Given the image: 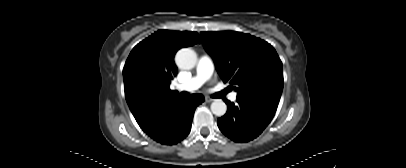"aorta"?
<instances>
[{"label": "aorta", "instance_id": "762f6f07", "mask_svg": "<svg viewBox=\"0 0 406 168\" xmlns=\"http://www.w3.org/2000/svg\"><path fill=\"white\" fill-rule=\"evenodd\" d=\"M175 62L179 68L191 69L197 63V54L190 48L180 49L175 56ZM211 111L216 116H223L227 111V105L223 100L215 99L211 103Z\"/></svg>", "mask_w": 406, "mask_h": 168}]
</instances>
